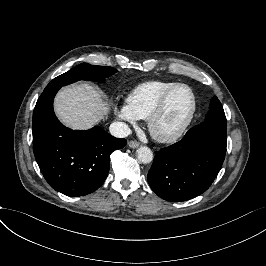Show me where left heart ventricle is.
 <instances>
[{
	"label": "left heart ventricle",
	"mask_w": 266,
	"mask_h": 266,
	"mask_svg": "<svg viewBox=\"0 0 266 266\" xmlns=\"http://www.w3.org/2000/svg\"><path fill=\"white\" fill-rule=\"evenodd\" d=\"M192 109L191 92L186 87H179L168 100L162 114L156 119L155 130L163 135L175 133L185 124Z\"/></svg>",
	"instance_id": "b2bd125f"
}]
</instances>
